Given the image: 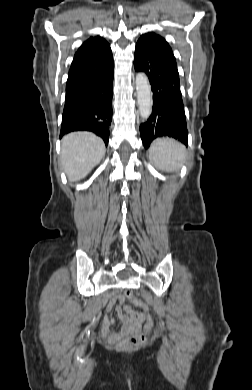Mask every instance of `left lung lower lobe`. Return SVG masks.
Here are the masks:
<instances>
[{"mask_svg":"<svg viewBox=\"0 0 252 390\" xmlns=\"http://www.w3.org/2000/svg\"><path fill=\"white\" fill-rule=\"evenodd\" d=\"M134 68L146 73L153 92L152 113L140 125L144 147L149 148L161 136L173 137L187 145L188 130L176 63L150 45L137 42Z\"/></svg>","mask_w":252,"mask_h":390,"instance_id":"1","label":"left lung lower lobe"}]
</instances>
